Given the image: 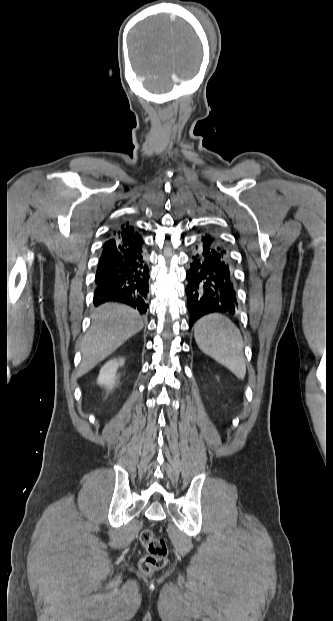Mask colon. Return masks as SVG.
Instances as JSON below:
<instances>
[{
	"label": "colon",
	"instance_id": "5ec220e1",
	"mask_svg": "<svg viewBox=\"0 0 333 621\" xmlns=\"http://www.w3.org/2000/svg\"><path fill=\"white\" fill-rule=\"evenodd\" d=\"M140 542L146 550L139 562L140 570L146 574H153L162 569L167 562L168 549L165 540L155 535L150 529L140 533Z\"/></svg>",
	"mask_w": 333,
	"mask_h": 621
}]
</instances>
